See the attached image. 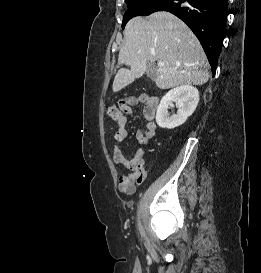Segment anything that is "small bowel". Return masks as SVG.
I'll list each match as a JSON object with an SVG mask.
<instances>
[{"mask_svg":"<svg viewBox=\"0 0 261 273\" xmlns=\"http://www.w3.org/2000/svg\"><path fill=\"white\" fill-rule=\"evenodd\" d=\"M138 101L144 103L143 114L147 120V125L144 129H139L136 132V138L140 144L147 143L152 139L157 132V124L154 122V117L158 108V99L150 94H142ZM119 128L115 133L116 144L113 147L112 157L113 160L129 169L131 172L120 175L118 181V190L127 195H131L136 190V185L144 181L146 172L144 169V156L145 151L139 148L132 159H127L121 149L122 143L128 137V130L126 129L127 118L126 116L117 121Z\"/></svg>","mask_w":261,"mask_h":273,"instance_id":"obj_1","label":"small bowel"}]
</instances>
